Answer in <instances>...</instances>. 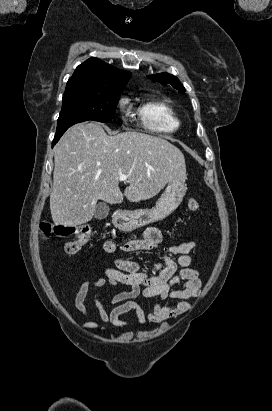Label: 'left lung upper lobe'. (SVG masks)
<instances>
[{
  "label": "left lung upper lobe",
  "mask_w": 272,
  "mask_h": 411,
  "mask_svg": "<svg viewBox=\"0 0 272 411\" xmlns=\"http://www.w3.org/2000/svg\"><path fill=\"white\" fill-rule=\"evenodd\" d=\"M152 81L159 82L162 85L171 84L175 89L180 91H185L183 85L180 83L177 77L168 74V73H161L156 75L148 76Z\"/></svg>",
  "instance_id": "5c2ea615"
}]
</instances>
